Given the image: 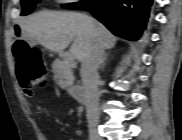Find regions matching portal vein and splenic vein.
Returning <instances> with one entry per match:
<instances>
[{
  "mask_svg": "<svg viewBox=\"0 0 182 140\" xmlns=\"http://www.w3.org/2000/svg\"><path fill=\"white\" fill-rule=\"evenodd\" d=\"M65 60L68 61V62H71L74 60V56L71 52H68L65 54Z\"/></svg>",
  "mask_w": 182,
  "mask_h": 140,
  "instance_id": "18ae733b",
  "label": "portal vein and splenic vein"
}]
</instances>
